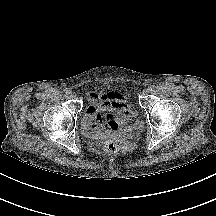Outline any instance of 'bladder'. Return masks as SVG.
<instances>
[{
  "mask_svg": "<svg viewBox=\"0 0 216 216\" xmlns=\"http://www.w3.org/2000/svg\"><path fill=\"white\" fill-rule=\"evenodd\" d=\"M120 125L126 129H133L139 126V123L134 121L131 116L121 117Z\"/></svg>",
  "mask_w": 216,
  "mask_h": 216,
  "instance_id": "obj_1",
  "label": "bladder"
}]
</instances>
